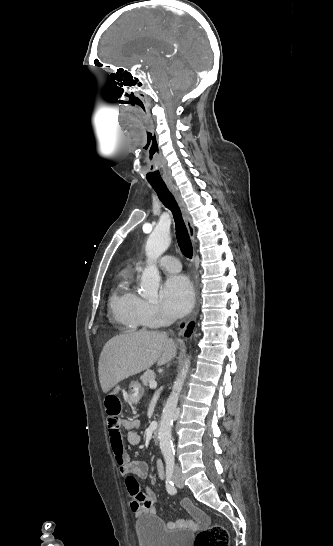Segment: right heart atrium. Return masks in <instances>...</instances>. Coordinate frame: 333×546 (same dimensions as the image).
Here are the masks:
<instances>
[{"label":"right heart atrium","mask_w":333,"mask_h":546,"mask_svg":"<svg viewBox=\"0 0 333 546\" xmlns=\"http://www.w3.org/2000/svg\"><path fill=\"white\" fill-rule=\"evenodd\" d=\"M137 309L139 316L146 325L156 326L166 321L163 311L153 303L140 299Z\"/></svg>","instance_id":"obj_1"}]
</instances>
